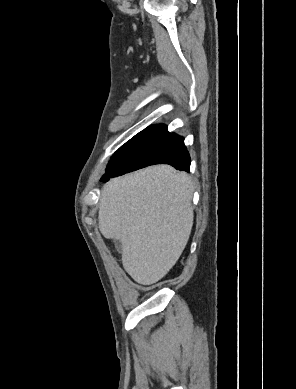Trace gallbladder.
I'll use <instances>...</instances> for the list:
<instances>
[{
    "label": "gallbladder",
    "instance_id": "bac80fb5",
    "mask_svg": "<svg viewBox=\"0 0 296 389\" xmlns=\"http://www.w3.org/2000/svg\"><path fill=\"white\" fill-rule=\"evenodd\" d=\"M113 242H114V245H115L117 251L121 253L122 249H123L122 243L117 239H114Z\"/></svg>",
    "mask_w": 296,
    "mask_h": 389
}]
</instances>
